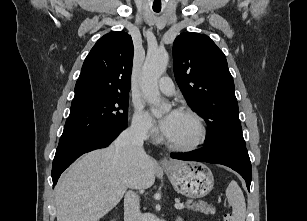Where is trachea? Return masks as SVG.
<instances>
[{
	"label": "trachea",
	"mask_w": 307,
	"mask_h": 221,
	"mask_svg": "<svg viewBox=\"0 0 307 221\" xmlns=\"http://www.w3.org/2000/svg\"><path fill=\"white\" fill-rule=\"evenodd\" d=\"M155 12H160V10H154Z\"/></svg>",
	"instance_id": "3493384b"
}]
</instances>
